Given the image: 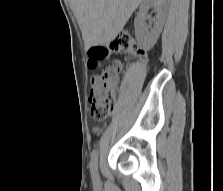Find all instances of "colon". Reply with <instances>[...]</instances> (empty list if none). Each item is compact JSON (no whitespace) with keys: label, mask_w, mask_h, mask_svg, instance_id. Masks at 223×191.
Here are the masks:
<instances>
[{"label":"colon","mask_w":223,"mask_h":191,"mask_svg":"<svg viewBox=\"0 0 223 191\" xmlns=\"http://www.w3.org/2000/svg\"><path fill=\"white\" fill-rule=\"evenodd\" d=\"M137 52L129 35L121 34L104 46L93 47L90 52L89 66L95 68L98 60L112 52ZM121 70L119 62L107 66L100 74L91 78L89 102L92 116L97 121H104L114 109V84L118 72Z\"/></svg>","instance_id":"5ec220e1"}]
</instances>
